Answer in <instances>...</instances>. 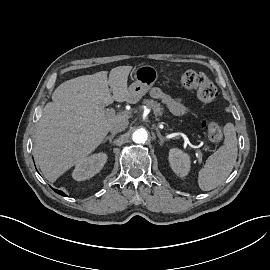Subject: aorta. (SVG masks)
I'll return each mask as SVG.
<instances>
[{"label":"aorta","mask_w":270,"mask_h":270,"mask_svg":"<svg viewBox=\"0 0 270 270\" xmlns=\"http://www.w3.org/2000/svg\"><path fill=\"white\" fill-rule=\"evenodd\" d=\"M148 139V133L144 128H139L135 130L132 134V140L135 143L141 144L145 143Z\"/></svg>","instance_id":"1"}]
</instances>
